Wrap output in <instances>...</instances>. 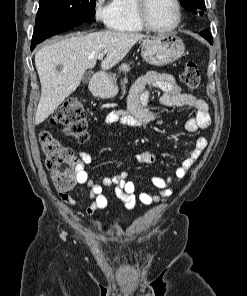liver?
<instances>
[{"label":"liver","instance_id":"1","mask_svg":"<svg viewBox=\"0 0 247 296\" xmlns=\"http://www.w3.org/2000/svg\"><path fill=\"white\" fill-rule=\"evenodd\" d=\"M145 37L138 33L99 31L67 37L41 48L35 55L41 83L35 124L45 121L77 89L85 71L95 66L100 53L106 54L101 62L102 70H109Z\"/></svg>","mask_w":247,"mask_h":296}]
</instances>
